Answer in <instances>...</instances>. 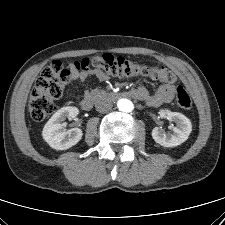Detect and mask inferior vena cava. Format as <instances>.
I'll list each match as a JSON object with an SVG mask.
<instances>
[{"label": "inferior vena cava", "mask_w": 225, "mask_h": 225, "mask_svg": "<svg viewBox=\"0 0 225 225\" xmlns=\"http://www.w3.org/2000/svg\"><path fill=\"white\" fill-rule=\"evenodd\" d=\"M112 106V101L105 97L98 98L95 103V108L100 113H106L110 111Z\"/></svg>", "instance_id": "1"}]
</instances>
